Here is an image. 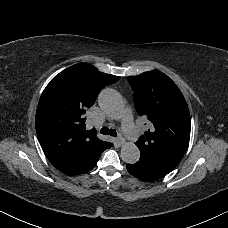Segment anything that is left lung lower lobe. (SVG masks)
Returning a JSON list of instances; mask_svg holds the SVG:
<instances>
[{
    "label": "left lung lower lobe",
    "mask_w": 228,
    "mask_h": 228,
    "mask_svg": "<svg viewBox=\"0 0 228 228\" xmlns=\"http://www.w3.org/2000/svg\"><path fill=\"white\" fill-rule=\"evenodd\" d=\"M140 160L135 164H127L130 174L143 181H154L170 173L178 161L149 151H140Z\"/></svg>",
    "instance_id": "1"
}]
</instances>
